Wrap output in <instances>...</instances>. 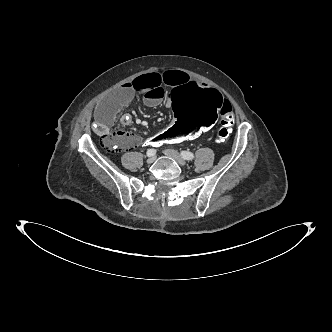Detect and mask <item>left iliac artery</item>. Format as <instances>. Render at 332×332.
<instances>
[{
    "label": "left iliac artery",
    "instance_id": "obj_1",
    "mask_svg": "<svg viewBox=\"0 0 332 332\" xmlns=\"http://www.w3.org/2000/svg\"><path fill=\"white\" fill-rule=\"evenodd\" d=\"M181 156L185 159V160H193L194 159V154L189 152V151H182L181 152Z\"/></svg>",
    "mask_w": 332,
    "mask_h": 332
}]
</instances>
